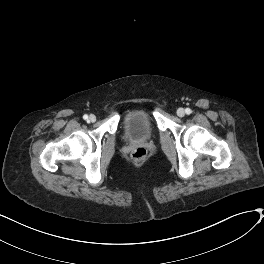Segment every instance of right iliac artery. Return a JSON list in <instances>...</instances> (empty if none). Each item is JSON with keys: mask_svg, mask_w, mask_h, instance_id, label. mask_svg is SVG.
Instances as JSON below:
<instances>
[{"mask_svg": "<svg viewBox=\"0 0 264 264\" xmlns=\"http://www.w3.org/2000/svg\"><path fill=\"white\" fill-rule=\"evenodd\" d=\"M83 119H84V120H87V119H88V115L85 114V115L83 116Z\"/></svg>", "mask_w": 264, "mask_h": 264, "instance_id": "right-iliac-artery-1", "label": "right iliac artery"}]
</instances>
